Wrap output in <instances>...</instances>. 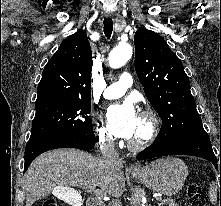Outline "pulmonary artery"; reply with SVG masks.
I'll list each match as a JSON object with an SVG mask.
<instances>
[{"label":"pulmonary artery","mask_w":221,"mask_h":206,"mask_svg":"<svg viewBox=\"0 0 221 206\" xmlns=\"http://www.w3.org/2000/svg\"><path fill=\"white\" fill-rule=\"evenodd\" d=\"M133 85V78L130 73H122L119 81L108 86L104 91L105 99H115L123 96L127 89Z\"/></svg>","instance_id":"obj_1"}]
</instances>
